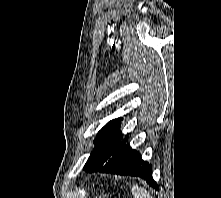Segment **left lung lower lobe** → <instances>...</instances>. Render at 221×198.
Instances as JSON below:
<instances>
[{
  "mask_svg": "<svg viewBox=\"0 0 221 198\" xmlns=\"http://www.w3.org/2000/svg\"><path fill=\"white\" fill-rule=\"evenodd\" d=\"M99 172L139 176L158 189L156 182L152 178L151 165L143 161L140 154L126 142L99 169Z\"/></svg>",
  "mask_w": 221,
  "mask_h": 198,
  "instance_id": "0a47b994",
  "label": "left lung lower lobe"
}]
</instances>
